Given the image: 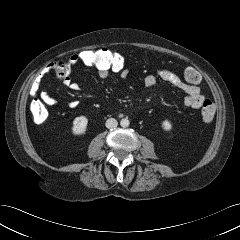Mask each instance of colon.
I'll list each match as a JSON object with an SVG mask.
<instances>
[{"instance_id": "colon-1", "label": "colon", "mask_w": 240, "mask_h": 240, "mask_svg": "<svg viewBox=\"0 0 240 240\" xmlns=\"http://www.w3.org/2000/svg\"><path fill=\"white\" fill-rule=\"evenodd\" d=\"M74 55L77 63L85 66L106 68L116 73L128 68L127 59L122 54L109 49L83 50ZM183 76L185 81L192 85L198 84L201 80L199 72L193 67L186 68ZM30 111L34 121L37 123L44 122L48 117L45 105L37 99L31 102ZM214 114V104L210 100H205L201 108L203 121L206 123L211 122Z\"/></svg>"}]
</instances>
